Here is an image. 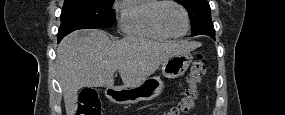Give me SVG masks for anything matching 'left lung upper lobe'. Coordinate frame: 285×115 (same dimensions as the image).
<instances>
[{"label": "left lung upper lobe", "instance_id": "left-lung-upper-lobe-1", "mask_svg": "<svg viewBox=\"0 0 285 115\" xmlns=\"http://www.w3.org/2000/svg\"><path fill=\"white\" fill-rule=\"evenodd\" d=\"M183 5L190 17L192 36L215 33L211 20V9L207 0H176Z\"/></svg>", "mask_w": 285, "mask_h": 115}]
</instances>
